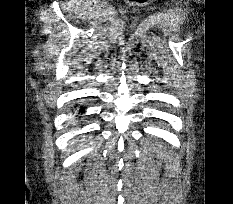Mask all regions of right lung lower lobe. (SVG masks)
<instances>
[{
    "label": "right lung lower lobe",
    "instance_id": "obj_1",
    "mask_svg": "<svg viewBox=\"0 0 233 204\" xmlns=\"http://www.w3.org/2000/svg\"><path fill=\"white\" fill-rule=\"evenodd\" d=\"M84 111V108L83 107H81L80 108V110H79V112H83Z\"/></svg>",
    "mask_w": 233,
    "mask_h": 204
}]
</instances>
